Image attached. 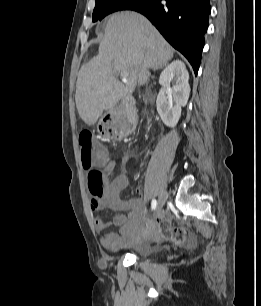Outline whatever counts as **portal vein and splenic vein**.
Wrapping results in <instances>:
<instances>
[{
	"mask_svg": "<svg viewBox=\"0 0 261 306\" xmlns=\"http://www.w3.org/2000/svg\"><path fill=\"white\" fill-rule=\"evenodd\" d=\"M120 75H121V77H122V81L126 83V82H127V77H128V75H129V73L126 72V71H124V72H122Z\"/></svg>",
	"mask_w": 261,
	"mask_h": 306,
	"instance_id": "18ae733b",
	"label": "portal vein and splenic vein"
}]
</instances>
